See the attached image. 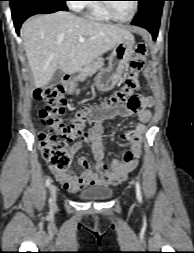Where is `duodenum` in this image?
Masks as SVG:
<instances>
[{
  "mask_svg": "<svg viewBox=\"0 0 194 253\" xmlns=\"http://www.w3.org/2000/svg\"><path fill=\"white\" fill-rule=\"evenodd\" d=\"M76 78H82V73H70V74H66L63 77V83L68 86Z\"/></svg>",
  "mask_w": 194,
  "mask_h": 253,
  "instance_id": "obj_1",
  "label": "duodenum"
}]
</instances>
